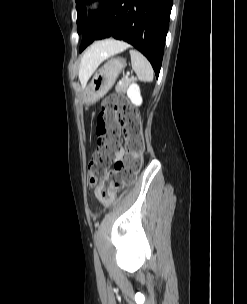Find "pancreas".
I'll use <instances>...</instances> for the list:
<instances>
[{
  "mask_svg": "<svg viewBox=\"0 0 247 304\" xmlns=\"http://www.w3.org/2000/svg\"><path fill=\"white\" fill-rule=\"evenodd\" d=\"M130 79L123 78L115 87L116 92L122 93L126 90L128 84L130 83Z\"/></svg>",
  "mask_w": 247,
  "mask_h": 304,
  "instance_id": "1",
  "label": "pancreas"
}]
</instances>
